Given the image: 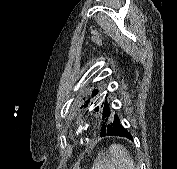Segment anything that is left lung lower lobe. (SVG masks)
<instances>
[{
  "mask_svg": "<svg viewBox=\"0 0 177 169\" xmlns=\"http://www.w3.org/2000/svg\"><path fill=\"white\" fill-rule=\"evenodd\" d=\"M101 137L104 136H120L126 137L130 140H133L132 135L128 132L120 123V119L117 115L114 116V120L112 123L106 128L105 132L100 135Z\"/></svg>",
  "mask_w": 177,
  "mask_h": 169,
  "instance_id": "left-lung-lower-lobe-1",
  "label": "left lung lower lobe"
}]
</instances>
